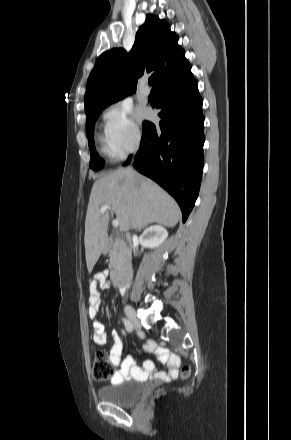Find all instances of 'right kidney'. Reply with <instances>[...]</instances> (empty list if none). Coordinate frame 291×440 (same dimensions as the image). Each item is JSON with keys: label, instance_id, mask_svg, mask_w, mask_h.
I'll return each mask as SVG.
<instances>
[{"label": "right kidney", "instance_id": "right-kidney-1", "mask_svg": "<svg viewBox=\"0 0 291 440\" xmlns=\"http://www.w3.org/2000/svg\"><path fill=\"white\" fill-rule=\"evenodd\" d=\"M168 237L167 230L161 225L148 227L140 235V243L147 248H156L160 246Z\"/></svg>", "mask_w": 291, "mask_h": 440}]
</instances>
